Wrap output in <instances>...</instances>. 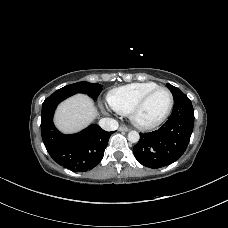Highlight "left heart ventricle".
I'll use <instances>...</instances> for the list:
<instances>
[{
	"label": "left heart ventricle",
	"mask_w": 228,
	"mask_h": 228,
	"mask_svg": "<svg viewBox=\"0 0 228 228\" xmlns=\"http://www.w3.org/2000/svg\"><path fill=\"white\" fill-rule=\"evenodd\" d=\"M169 101V95L166 91H157L148 99L146 104L140 110L138 120L144 124L157 121L166 112Z\"/></svg>",
	"instance_id": "obj_1"
}]
</instances>
